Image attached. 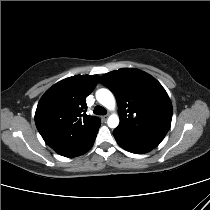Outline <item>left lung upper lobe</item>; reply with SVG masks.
Listing matches in <instances>:
<instances>
[{
    "label": "left lung upper lobe",
    "instance_id": "5c2ea615",
    "mask_svg": "<svg viewBox=\"0 0 210 210\" xmlns=\"http://www.w3.org/2000/svg\"><path fill=\"white\" fill-rule=\"evenodd\" d=\"M118 103L119 126L115 138L155 148L171 126L172 104L162 85L151 75L133 68L119 69L100 80Z\"/></svg>",
    "mask_w": 210,
    "mask_h": 210
}]
</instances>
